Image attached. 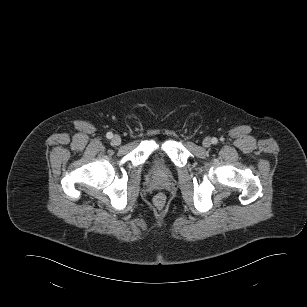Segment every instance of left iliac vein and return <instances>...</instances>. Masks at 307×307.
I'll return each mask as SVG.
<instances>
[{
    "label": "left iliac vein",
    "instance_id": "obj_1",
    "mask_svg": "<svg viewBox=\"0 0 307 307\" xmlns=\"http://www.w3.org/2000/svg\"><path fill=\"white\" fill-rule=\"evenodd\" d=\"M210 145H211V139L210 138H205L203 140V146L204 147H210Z\"/></svg>",
    "mask_w": 307,
    "mask_h": 307
}]
</instances>
